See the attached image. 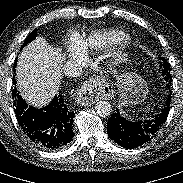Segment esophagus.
Wrapping results in <instances>:
<instances>
[{
	"label": "esophagus",
	"mask_w": 183,
	"mask_h": 183,
	"mask_svg": "<svg viewBox=\"0 0 183 183\" xmlns=\"http://www.w3.org/2000/svg\"><path fill=\"white\" fill-rule=\"evenodd\" d=\"M112 97L113 89L111 85L94 77L83 84L77 94V102L81 106H91L100 99H110Z\"/></svg>",
	"instance_id": "34e87169"
}]
</instances>
